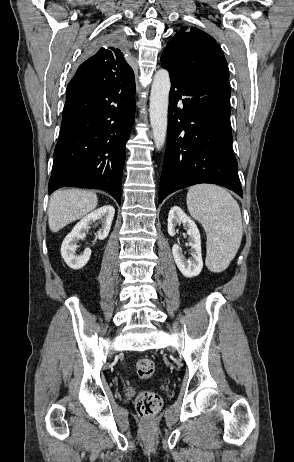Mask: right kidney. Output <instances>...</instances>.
<instances>
[{
    "instance_id": "1",
    "label": "right kidney",
    "mask_w": 294,
    "mask_h": 462,
    "mask_svg": "<svg viewBox=\"0 0 294 462\" xmlns=\"http://www.w3.org/2000/svg\"><path fill=\"white\" fill-rule=\"evenodd\" d=\"M114 214L115 209L113 206H102L80 220L65 237L61 246V256L70 268L79 270L83 268L90 259V248H86L82 255L77 256L75 253L77 242L85 237L89 225L95 221L102 222V228L98 231L97 238L99 240H104L110 232Z\"/></svg>"
}]
</instances>
